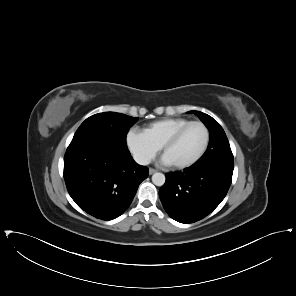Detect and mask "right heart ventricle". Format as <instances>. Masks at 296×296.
I'll return each instance as SVG.
<instances>
[{"label":"right heart ventricle","mask_w":296,"mask_h":296,"mask_svg":"<svg viewBox=\"0 0 296 296\" xmlns=\"http://www.w3.org/2000/svg\"><path fill=\"white\" fill-rule=\"evenodd\" d=\"M184 118H167L152 123L144 129L145 135L158 147H162L165 141L178 129L189 123Z\"/></svg>","instance_id":"obj_1"}]
</instances>
